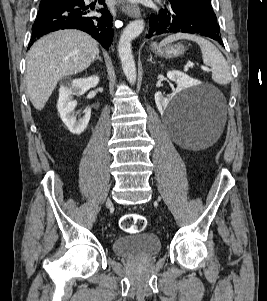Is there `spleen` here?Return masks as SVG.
<instances>
[{
  "label": "spleen",
  "instance_id": "1",
  "mask_svg": "<svg viewBox=\"0 0 267 301\" xmlns=\"http://www.w3.org/2000/svg\"><path fill=\"white\" fill-rule=\"evenodd\" d=\"M180 39L194 41L200 46L204 64L212 68V79L214 82L222 85L230 83L231 73L229 65L222 53L210 41L196 35L178 33L163 39L160 43V46Z\"/></svg>",
  "mask_w": 267,
  "mask_h": 301
}]
</instances>
